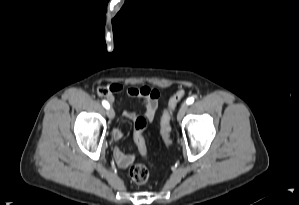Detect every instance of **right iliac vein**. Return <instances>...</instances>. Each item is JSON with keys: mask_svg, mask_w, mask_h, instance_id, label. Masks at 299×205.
Returning <instances> with one entry per match:
<instances>
[{"mask_svg": "<svg viewBox=\"0 0 299 205\" xmlns=\"http://www.w3.org/2000/svg\"><path fill=\"white\" fill-rule=\"evenodd\" d=\"M107 115H108V117H109L110 119H114V117H115V112H114V110H113L112 108H108V110H107Z\"/></svg>", "mask_w": 299, "mask_h": 205, "instance_id": "1", "label": "right iliac vein"}]
</instances>
